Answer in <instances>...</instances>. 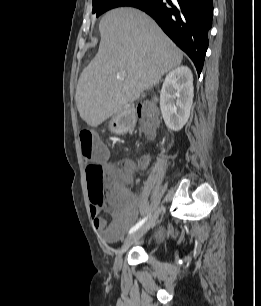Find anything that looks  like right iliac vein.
Instances as JSON below:
<instances>
[{"mask_svg":"<svg viewBox=\"0 0 261 306\" xmlns=\"http://www.w3.org/2000/svg\"><path fill=\"white\" fill-rule=\"evenodd\" d=\"M158 218V213H155L144 225H142L139 229L134 231L131 235H129L125 241L123 242L122 246L117 250L115 256V268L120 269L122 266L123 254L127 251V249L139 240L154 224L156 219Z\"/></svg>","mask_w":261,"mask_h":306,"instance_id":"63e3f726","label":"right iliac vein"}]
</instances>
